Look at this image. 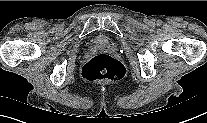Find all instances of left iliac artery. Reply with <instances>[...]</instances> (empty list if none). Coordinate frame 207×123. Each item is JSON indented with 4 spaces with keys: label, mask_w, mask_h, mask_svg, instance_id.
<instances>
[{
    "label": "left iliac artery",
    "mask_w": 207,
    "mask_h": 123,
    "mask_svg": "<svg viewBox=\"0 0 207 123\" xmlns=\"http://www.w3.org/2000/svg\"><path fill=\"white\" fill-rule=\"evenodd\" d=\"M157 24H158V25H161V24H162V21H161V20H158V21H157Z\"/></svg>",
    "instance_id": "1"
}]
</instances>
